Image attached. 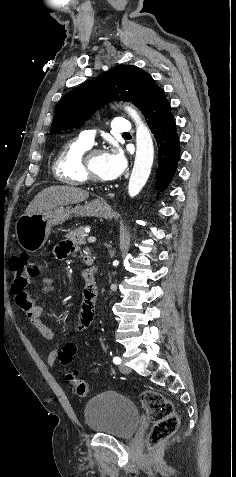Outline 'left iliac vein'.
I'll return each instance as SVG.
<instances>
[{
  "instance_id": "4c4485c4",
  "label": "left iliac vein",
  "mask_w": 236,
  "mask_h": 477,
  "mask_svg": "<svg viewBox=\"0 0 236 477\" xmlns=\"http://www.w3.org/2000/svg\"><path fill=\"white\" fill-rule=\"evenodd\" d=\"M119 370H120L122 373H124V374L130 373V368L127 367L124 363H121V364L119 365Z\"/></svg>"
}]
</instances>
